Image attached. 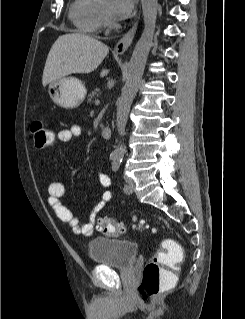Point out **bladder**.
<instances>
[{"label": "bladder", "mask_w": 245, "mask_h": 319, "mask_svg": "<svg viewBox=\"0 0 245 319\" xmlns=\"http://www.w3.org/2000/svg\"><path fill=\"white\" fill-rule=\"evenodd\" d=\"M90 259L95 264L129 268L138 254V244L114 238H94L88 243Z\"/></svg>", "instance_id": "1"}]
</instances>
